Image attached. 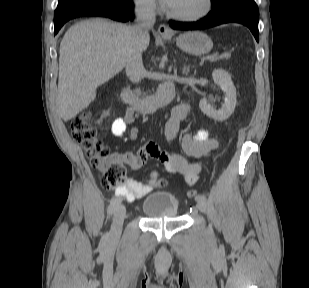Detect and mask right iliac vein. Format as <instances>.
<instances>
[{
    "instance_id": "63e3f726",
    "label": "right iliac vein",
    "mask_w": 309,
    "mask_h": 288,
    "mask_svg": "<svg viewBox=\"0 0 309 288\" xmlns=\"http://www.w3.org/2000/svg\"><path fill=\"white\" fill-rule=\"evenodd\" d=\"M126 217V209L123 205L119 204L113 214V223L110 232V239L117 240L122 232V226Z\"/></svg>"
}]
</instances>
